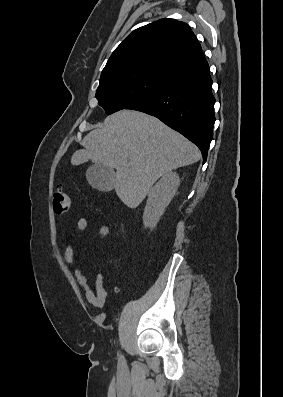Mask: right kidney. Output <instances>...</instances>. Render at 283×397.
I'll return each instance as SVG.
<instances>
[{
	"label": "right kidney",
	"instance_id": "right-kidney-1",
	"mask_svg": "<svg viewBox=\"0 0 283 397\" xmlns=\"http://www.w3.org/2000/svg\"><path fill=\"white\" fill-rule=\"evenodd\" d=\"M179 184V175L170 171L164 174L150 189L143 213V224L146 228H153L158 223L165 208L173 199Z\"/></svg>",
	"mask_w": 283,
	"mask_h": 397
}]
</instances>
